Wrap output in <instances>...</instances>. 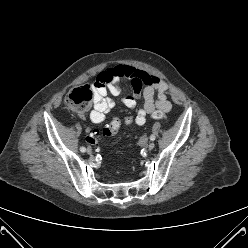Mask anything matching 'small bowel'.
Segmentation results:
<instances>
[{
    "mask_svg": "<svg viewBox=\"0 0 248 248\" xmlns=\"http://www.w3.org/2000/svg\"><path fill=\"white\" fill-rule=\"evenodd\" d=\"M121 79L130 80L133 90L131 96L122 99L125 107L132 109L141 95L144 98V103L134 118L136 125H144L147 117L155 111H170L171 103L167 99L170 84L164 78L129 65L117 64L101 71L94 83V107L90 113L93 123L103 122L107 113L114 107L115 102L107 93L120 97Z\"/></svg>",
    "mask_w": 248,
    "mask_h": 248,
    "instance_id": "1",
    "label": "small bowel"
}]
</instances>
